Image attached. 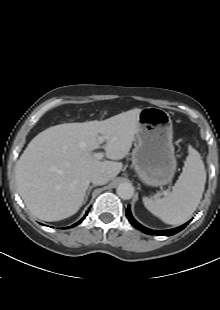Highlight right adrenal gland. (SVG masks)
<instances>
[{
  "instance_id": "obj_1",
  "label": "right adrenal gland",
  "mask_w": 220,
  "mask_h": 310,
  "mask_svg": "<svg viewBox=\"0 0 220 310\" xmlns=\"http://www.w3.org/2000/svg\"><path fill=\"white\" fill-rule=\"evenodd\" d=\"M94 187H95V185L89 186V188H88V190H87V193H86V195H85L84 201H83L84 204H85L86 201L88 200V196L90 195V192H91V190H92Z\"/></svg>"
}]
</instances>
